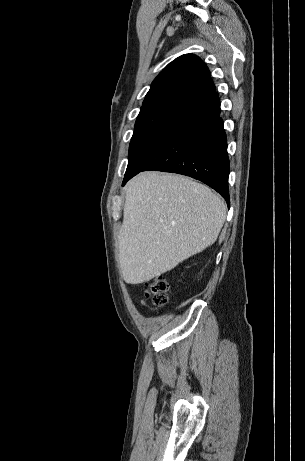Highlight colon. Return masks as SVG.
<instances>
[{
	"label": "colon",
	"instance_id": "obj_1",
	"mask_svg": "<svg viewBox=\"0 0 305 461\" xmlns=\"http://www.w3.org/2000/svg\"><path fill=\"white\" fill-rule=\"evenodd\" d=\"M145 286L144 297L155 309H160L168 303V283L162 276L147 280Z\"/></svg>",
	"mask_w": 305,
	"mask_h": 461
}]
</instances>
